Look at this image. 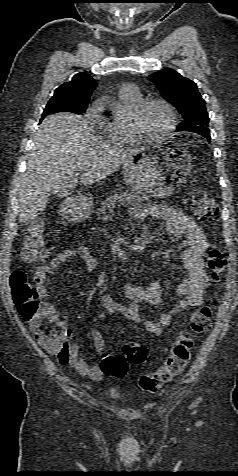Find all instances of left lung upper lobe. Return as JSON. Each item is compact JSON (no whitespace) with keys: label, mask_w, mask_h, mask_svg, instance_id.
Here are the masks:
<instances>
[{"label":"left lung upper lobe","mask_w":238,"mask_h":476,"mask_svg":"<svg viewBox=\"0 0 238 476\" xmlns=\"http://www.w3.org/2000/svg\"><path fill=\"white\" fill-rule=\"evenodd\" d=\"M162 97L173 104L184 121L177 131H209V117L205 101L193 81L173 69L165 68L150 75Z\"/></svg>","instance_id":"1"}]
</instances>
